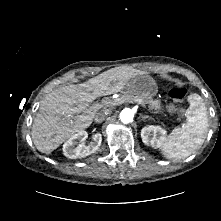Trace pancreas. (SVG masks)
<instances>
[{"label": "pancreas", "instance_id": "obj_1", "mask_svg": "<svg viewBox=\"0 0 221 221\" xmlns=\"http://www.w3.org/2000/svg\"><path fill=\"white\" fill-rule=\"evenodd\" d=\"M124 99L130 101L133 99H140L144 104H147L149 107V110L158 111L161 107V102L159 100L153 99L149 95H137L134 96L133 94H125Z\"/></svg>", "mask_w": 221, "mask_h": 221}]
</instances>
